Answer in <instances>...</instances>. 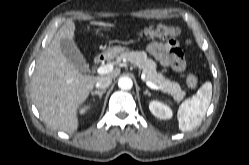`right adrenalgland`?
I'll use <instances>...</instances> for the list:
<instances>
[{
	"mask_svg": "<svg viewBox=\"0 0 249 165\" xmlns=\"http://www.w3.org/2000/svg\"><path fill=\"white\" fill-rule=\"evenodd\" d=\"M106 92V90H100V91H94V92H91V95L92 96H95V95H98L99 98L101 99L102 98V95Z\"/></svg>",
	"mask_w": 249,
	"mask_h": 165,
	"instance_id": "2a0ac1e0",
	"label": "right adrenal gland"
}]
</instances>
